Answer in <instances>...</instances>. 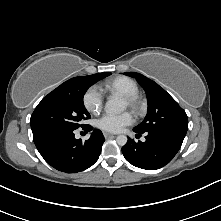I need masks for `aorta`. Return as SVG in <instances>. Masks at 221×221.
<instances>
[{
    "label": "aorta",
    "instance_id": "obj_1",
    "mask_svg": "<svg viewBox=\"0 0 221 221\" xmlns=\"http://www.w3.org/2000/svg\"><path fill=\"white\" fill-rule=\"evenodd\" d=\"M124 110H125L124 103L116 97L109 98L105 104V111L108 114H119ZM127 140L128 139L125 135H119L116 137V142L120 146L126 145Z\"/></svg>",
    "mask_w": 221,
    "mask_h": 221
}]
</instances>
